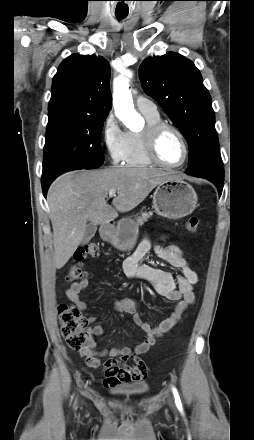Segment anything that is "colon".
Instances as JSON below:
<instances>
[{
	"mask_svg": "<svg viewBox=\"0 0 254 440\" xmlns=\"http://www.w3.org/2000/svg\"><path fill=\"white\" fill-rule=\"evenodd\" d=\"M199 225V219L196 216H190L186 223V228L190 232H196ZM99 246L95 242L86 243L74 252L72 266L67 280L77 282L85 279L86 274L81 269L80 263L86 258H95L99 255ZM59 319L62 326V335L69 348L81 351L86 347L88 341L87 327L89 319L82 315L74 305L60 304L58 306Z\"/></svg>",
	"mask_w": 254,
	"mask_h": 440,
	"instance_id": "obj_1",
	"label": "colon"
}]
</instances>
